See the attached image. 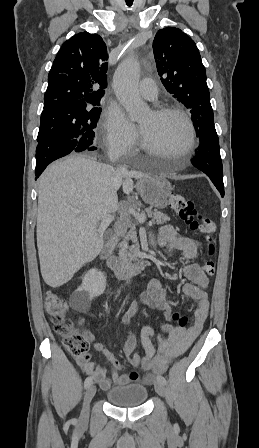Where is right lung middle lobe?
Returning <instances> with one entry per match:
<instances>
[{
    "mask_svg": "<svg viewBox=\"0 0 259 448\" xmlns=\"http://www.w3.org/2000/svg\"><path fill=\"white\" fill-rule=\"evenodd\" d=\"M98 106L100 105L67 113L41 114L38 143L76 139L79 151L94 146V129L102 110Z\"/></svg>",
    "mask_w": 259,
    "mask_h": 448,
    "instance_id": "1",
    "label": "right lung middle lobe"
}]
</instances>
